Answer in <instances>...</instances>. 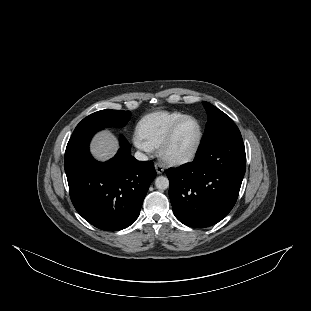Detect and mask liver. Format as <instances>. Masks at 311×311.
<instances>
[{
    "instance_id": "1",
    "label": "liver",
    "mask_w": 311,
    "mask_h": 311,
    "mask_svg": "<svg viewBox=\"0 0 311 311\" xmlns=\"http://www.w3.org/2000/svg\"><path fill=\"white\" fill-rule=\"evenodd\" d=\"M115 150V139L110 134H101L93 145L94 153L99 157H109Z\"/></svg>"
}]
</instances>
